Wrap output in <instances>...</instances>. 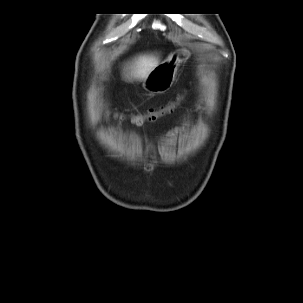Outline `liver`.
<instances>
[{"instance_id":"liver-1","label":"liver","mask_w":303,"mask_h":303,"mask_svg":"<svg viewBox=\"0 0 303 303\" xmlns=\"http://www.w3.org/2000/svg\"><path fill=\"white\" fill-rule=\"evenodd\" d=\"M159 57L155 55H140L125 69V78L129 81H144L149 73L159 64Z\"/></svg>"}]
</instances>
